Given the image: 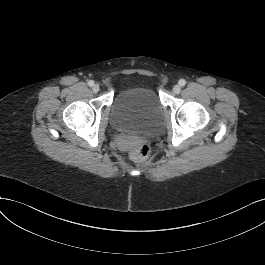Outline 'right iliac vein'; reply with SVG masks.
Returning a JSON list of instances; mask_svg holds the SVG:
<instances>
[{"label":"right iliac vein","mask_w":265,"mask_h":265,"mask_svg":"<svg viewBox=\"0 0 265 265\" xmlns=\"http://www.w3.org/2000/svg\"><path fill=\"white\" fill-rule=\"evenodd\" d=\"M92 90L94 93H98L100 91V86L98 84L93 85Z\"/></svg>","instance_id":"obj_1"}]
</instances>
